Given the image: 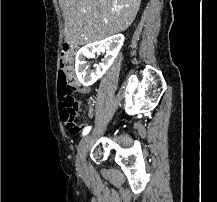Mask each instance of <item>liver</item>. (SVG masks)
<instances>
[{"label": "liver", "mask_w": 217, "mask_h": 202, "mask_svg": "<svg viewBox=\"0 0 217 202\" xmlns=\"http://www.w3.org/2000/svg\"><path fill=\"white\" fill-rule=\"evenodd\" d=\"M69 46H84L124 32L133 24L141 0H59Z\"/></svg>", "instance_id": "6515ba94"}]
</instances>
